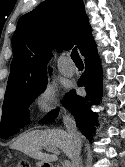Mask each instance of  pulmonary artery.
<instances>
[{"label":"pulmonary artery","mask_w":125,"mask_h":167,"mask_svg":"<svg viewBox=\"0 0 125 167\" xmlns=\"http://www.w3.org/2000/svg\"><path fill=\"white\" fill-rule=\"evenodd\" d=\"M68 60V58H64L59 63V70L60 72L67 77H72L76 73V67L75 66H66L65 62Z\"/></svg>","instance_id":"obj_1"}]
</instances>
